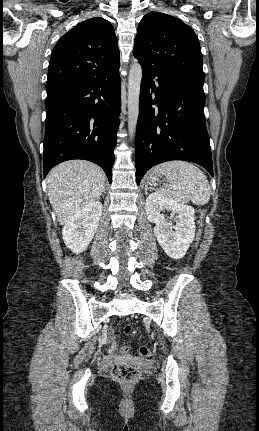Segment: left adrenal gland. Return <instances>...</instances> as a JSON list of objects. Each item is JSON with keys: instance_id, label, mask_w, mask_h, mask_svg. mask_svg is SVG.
I'll return each instance as SVG.
<instances>
[{"instance_id": "obj_1", "label": "left adrenal gland", "mask_w": 259, "mask_h": 431, "mask_svg": "<svg viewBox=\"0 0 259 431\" xmlns=\"http://www.w3.org/2000/svg\"><path fill=\"white\" fill-rule=\"evenodd\" d=\"M148 189H149L148 185H145V194H147Z\"/></svg>"}]
</instances>
